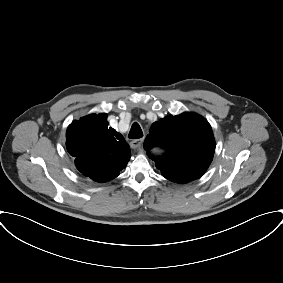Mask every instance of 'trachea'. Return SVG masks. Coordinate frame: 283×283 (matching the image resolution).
I'll return each instance as SVG.
<instances>
[{
    "label": "trachea",
    "mask_w": 283,
    "mask_h": 283,
    "mask_svg": "<svg viewBox=\"0 0 283 283\" xmlns=\"http://www.w3.org/2000/svg\"><path fill=\"white\" fill-rule=\"evenodd\" d=\"M128 137L130 139H139L143 137V132L137 122L132 124Z\"/></svg>",
    "instance_id": "1"
}]
</instances>
